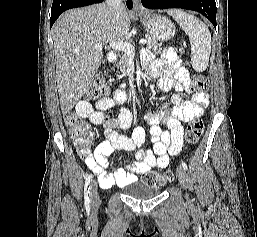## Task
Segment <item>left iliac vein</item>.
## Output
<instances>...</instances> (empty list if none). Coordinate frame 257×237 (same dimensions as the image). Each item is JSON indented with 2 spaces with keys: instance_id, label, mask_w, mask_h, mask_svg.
Returning a JSON list of instances; mask_svg holds the SVG:
<instances>
[{
  "instance_id": "left-iliac-vein-1",
  "label": "left iliac vein",
  "mask_w": 257,
  "mask_h": 237,
  "mask_svg": "<svg viewBox=\"0 0 257 237\" xmlns=\"http://www.w3.org/2000/svg\"><path fill=\"white\" fill-rule=\"evenodd\" d=\"M177 176H178L181 186L183 188H186L187 183H188V175H187L186 171L183 169V167H181V166L177 167Z\"/></svg>"
}]
</instances>
